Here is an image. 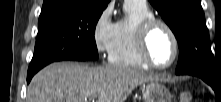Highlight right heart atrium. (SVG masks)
Returning a JSON list of instances; mask_svg holds the SVG:
<instances>
[{"label": "right heart atrium", "instance_id": "1", "mask_svg": "<svg viewBox=\"0 0 221 102\" xmlns=\"http://www.w3.org/2000/svg\"><path fill=\"white\" fill-rule=\"evenodd\" d=\"M115 33V23L112 19V8H104L95 20L92 30L94 46L102 56H109Z\"/></svg>", "mask_w": 221, "mask_h": 102}]
</instances>
